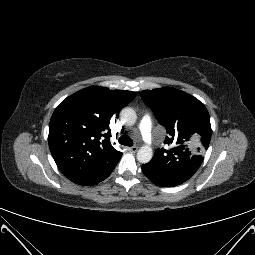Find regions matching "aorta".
Wrapping results in <instances>:
<instances>
[{
	"label": "aorta",
	"instance_id": "aorta-1",
	"mask_svg": "<svg viewBox=\"0 0 255 255\" xmlns=\"http://www.w3.org/2000/svg\"><path fill=\"white\" fill-rule=\"evenodd\" d=\"M121 120L126 124H133L136 121V113L132 109H124L120 114ZM153 157V150L149 145L142 146L137 152V160L148 163Z\"/></svg>",
	"mask_w": 255,
	"mask_h": 255
}]
</instances>
